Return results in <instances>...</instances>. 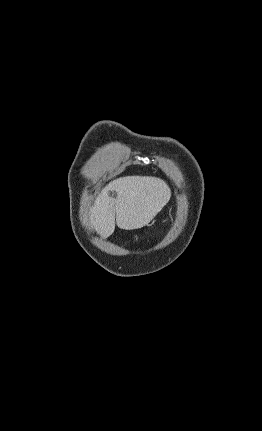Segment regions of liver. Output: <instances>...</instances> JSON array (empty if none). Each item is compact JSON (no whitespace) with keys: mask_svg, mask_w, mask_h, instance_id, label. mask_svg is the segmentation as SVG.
Masks as SVG:
<instances>
[{"mask_svg":"<svg viewBox=\"0 0 262 431\" xmlns=\"http://www.w3.org/2000/svg\"><path fill=\"white\" fill-rule=\"evenodd\" d=\"M110 191L116 193V198L110 196ZM170 196V188L159 178L122 177L109 183L98 195L90 220L103 239L114 232L115 223L124 230L140 229L163 209Z\"/></svg>","mask_w":262,"mask_h":431,"instance_id":"obj_1","label":"liver"}]
</instances>
